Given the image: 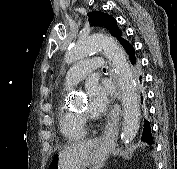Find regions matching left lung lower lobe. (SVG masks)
Masks as SVG:
<instances>
[{"mask_svg":"<svg viewBox=\"0 0 177 169\" xmlns=\"http://www.w3.org/2000/svg\"><path fill=\"white\" fill-rule=\"evenodd\" d=\"M123 47L127 53V58L129 60V62L133 65V68L138 71L139 70V61L136 56L135 48L129 42L126 43ZM139 79L141 80L142 76H140ZM141 141L146 142L150 145L153 144V137L151 134V126H150L149 121H147V120L144 121V127H143V133L141 136Z\"/></svg>","mask_w":177,"mask_h":169,"instance_id":"1","label":"left lung lower lobe"}]
</instances>
